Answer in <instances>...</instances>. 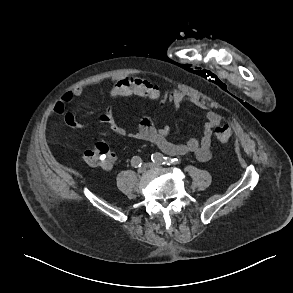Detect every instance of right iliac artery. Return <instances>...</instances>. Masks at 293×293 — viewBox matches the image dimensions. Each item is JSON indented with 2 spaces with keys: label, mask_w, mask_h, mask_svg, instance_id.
<instances>
[{
  "label": "right iliac artery",
  "mask_w": 293,
  "mask_h": 293,
  "mask_svg": "<svg viewBox=\"0 0 293 293\" xmlns=\"http://www.w3.org/2000/svg\"><path fill=\"white\" fill-rule=\"evenodd\" d=\"M131 164L133 167L137 168V167H141L142 165V160L139 156H134L131 160Z\"/></svg>",
  "instance_id": "82829eb1"
}]
</instances>
